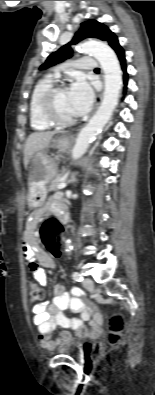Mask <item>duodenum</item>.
<instances>
[{
	"label": "duodenum",
	"instance_id": "obj_1",
	"mask_svg": "<svg viewBox=\"0 0 155 395\" xmlns=\"http://www.w3.org/2000/svg\"><path fill=\"white\" fill-rule=\"evenodd\" d=\"M56 215H58V217L60 218V221L62 223H66L67 222V219H68L67 212L65 211L64 208H61Z\"/></svg>",
	"mask_w": 155,
	"mask_h": 395
}]
</instances>
